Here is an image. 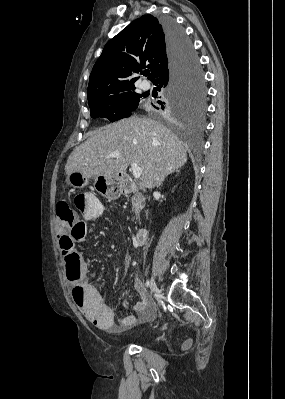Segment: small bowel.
<instances>
[{"label": "small bowel", "mask_w": 285, "mask_h": 399, "mask_svg": "<svg viewBox=\"0 0 285 399\" xmlns=\"http://www.w3.org/2000/svg\"><path fill=\"white\" fill-rule=\"evenodd\" d=\"M102 203L92 194H87V203L81 213L82 230L87 233V223L100 217L103 212ZM68 272H77L84 294L82 300H76V291L70 286V295L75 304L81 309L87 320L100 329L108 330L114 333H121L132 327L151 320L155 315V310L151 307L146 291L139 277L134 278V286L140 295L139 301L134 305V314L121 316L118 320L112 308L103 300L102 294L93 285L87 281L88 265L82 256H77L71 263L66 262Z\"/></svg>", "instance_id": "c3829d8e"}]
</instances>
